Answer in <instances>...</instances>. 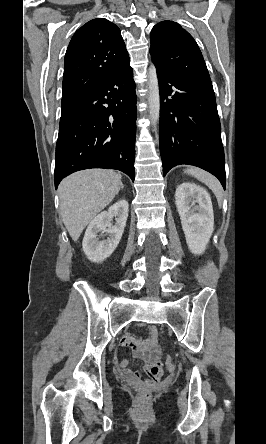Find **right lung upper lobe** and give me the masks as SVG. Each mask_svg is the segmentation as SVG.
Returning a JSON list of instances; mask_svg holds the SVG:
<instances>
[{
  "mask_svg": "<svg viewBox=\"0 0 266 444\" xmlns=\"http://www.w3.org/2000/svg\"><path fill=\"white\" fill-rule=\"evenodd\" d=\"M127 61L117 25L104 18L87 22L75 32L65 54L62 102L84 96Z\"/></svg>",
  "mask_w": 266,
  "mask_h": 444,
  "instance_id": "cb5924a9",
  "label": "right lung upper lobe"
}]
</instances>
